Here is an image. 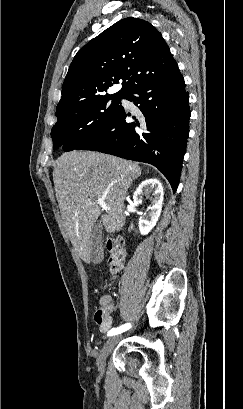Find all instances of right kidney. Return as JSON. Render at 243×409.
<instances>
[{
    "instance_id": "1",
    "label": "right kidney",
    "mask_w": 243,
    "mask_h": 409,
    "mask_svg": "<svg viewBox=\"0 0 243 409\" xmlns=\"http://www.w3.org/2000/svg\"><path fill=\"white\" fill-rule=\"evenodd\" d=\"M152 194L148 212L139 219L141 235H147L156 225L163 204V187L159 180L151 178L143 181L133 194L134 203L140 204L144 195Z\"/></svg>"
}]
</instances>
